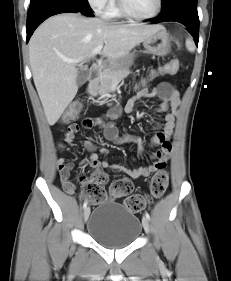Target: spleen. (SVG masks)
Here are the masks:
<instances>
[{"instance_id": "obj_1", "label": "spleen", "mask_w": 231, "mask_h": 281, "mask_svg": "<svg viewBox=\"0 0 231 281\" xmlns=\"http://www.w3.org/2000/svg\"><path fill=\"white\" fill-rule=\"evenodd\" d=\"M185 45H186L187 50H188L189 52H191V53H193V52L195 51V49H196L193 40L190 39V38L186 39Z\"/></svg>"}]
</instances>
